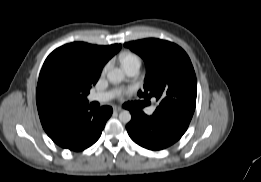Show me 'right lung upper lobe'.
<instances>
[{"mask_svg": "<svg viewBox=\"0 0 261 182\" xmlns=\"http://www.w3.org/2000/svg\"><path fill=\"white\" fill-rule=\"evenodd\" d=\"M121 48L73 42L55 49L41 69L36 102L48 135L56 132L77 109L89 107L86 96L107 61Z\"/></svg>", "mask_w": 261, "mask_h": 182, "instance_id": "1", "label": "right lung upper lobe"}]
</instances>
